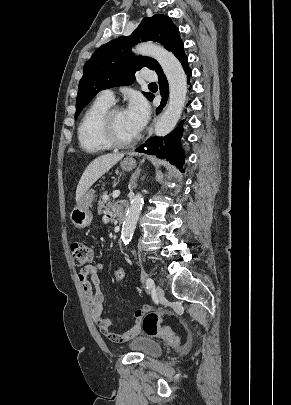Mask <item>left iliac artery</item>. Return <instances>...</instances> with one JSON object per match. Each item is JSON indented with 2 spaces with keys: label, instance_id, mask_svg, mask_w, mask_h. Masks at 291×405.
I'll return each mask as SVG.
<instances>
[{
  "label": "left iliac artery",
  "instance_id": "44dca946",
  "mask_svg": "<svg viewBox=\"0 0 291 405\" xmlns=\"http://www.w3.org/2000/svg\"><path fill=\"white\" fill-rule=\"evenodd\" d=\"M155 284L154 281L151 278H148L146 280V288L150 291L154 288Z\"/></svg>",
  "mask_w": 291,
  "mask_h": 405
}]
</instances>
